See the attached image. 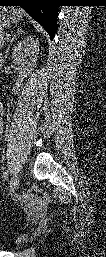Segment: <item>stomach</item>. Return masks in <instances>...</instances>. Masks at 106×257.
<instances>
[{"label":"stomach","mask_w":106,"mask_h":257,"mask_svg":"<svg viewBox=\"0 0 106 257\" xmlns=\"http://www.w3.org/2000/svg\"><path fill=\"white\" fill-rule=\"evenodd\" d=\"M21 14L14 8L2 7L0 15V26L1 28L10 27L19 22Z\"/></svg>","instance_id":"obj_1"}]
</instances>
